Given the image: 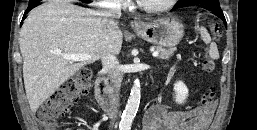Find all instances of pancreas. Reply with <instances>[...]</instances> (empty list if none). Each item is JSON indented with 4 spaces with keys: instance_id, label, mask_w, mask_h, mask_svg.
<instances>
[{
    "instance_id": "1",
    "label": "pancreas",
    "mask_w": 257,
    "mask_h": 130,
    "mask_svg": "<svg viewBox=\"0 0 257 130\" xmlns=\"http://www.w3.org/2000/svg\"><path fill=\"white\" fill-rule=\"evenodd\" d=\"M155 49L159 52L158 58L163 60H168L174 53L173 48H163L161 46H156Z\"/></svg>"
}]
</instances>
